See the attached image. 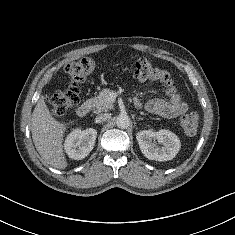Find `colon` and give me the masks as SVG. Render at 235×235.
Here are the masks:
<instances>
[{"mask_svg": "<svg viewBox=\"0 0 235 235\" xmlns=\"http://www.w3.org/2000/svg\"><path fill=\"white\" fill-rule=\"evenodd\" d=\"M95 67V61L90 57H83L66 64L65 71L71 77L72 83L67 89L58 90L48 95L47 102L52 115L62 116L79 102V85L95 70ZM132 73L137 80L158 82L165 86L170 93H175L169 73L155 67L145 58L134 61ZM180 126L185 134L195 135L199 127V116L194 112L183 115L180 118Z\"/></svg>", "mask_w": 235, "mask_h": 235, "instance_id": "obj_1", "label": "colon"}]
</instances>
